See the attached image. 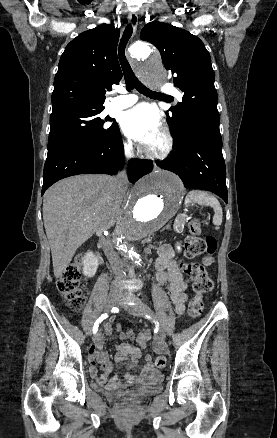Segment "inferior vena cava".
<instances>
[{"mask_svg": "<svg viewBox=\"0 0 277 438\" xmlns=\"http://www.w3.org/2000/svg\"><path fill=\"white\" fill-rule=\"evenodd\" d=\"M115 180H117L119 186H121V190H125V188H127L128 182L126 178V172H119L118 176H115ZM110 264L115 276V282H113L111 290H120L117 282L122 280L124 276L123 264L120 262V260H110Z\"/></svg>", "mask_w": 277, "mask_h": 438, "instance_id": "obj_1", "label": "inferior vena cava"}]
</instances>
